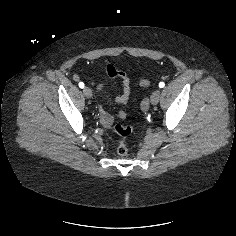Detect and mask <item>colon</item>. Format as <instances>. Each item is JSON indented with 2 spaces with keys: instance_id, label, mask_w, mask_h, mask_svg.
Returning <instances> with one entry per match:
<instances>
[{
  "instance_id": "5ec220e1",
  "label": "colon",
  "mask_w": 236,
  "mask_h": 236,
  "mask_svg": "<svg viewBox=\"0 0 236 236\" xmlns=\"http://www.w3.org/2000/svg\"><path fill=\"white\" fill-rule=\"evenodd\" d=\"M150 85V81L147 79H143L140 82V86L142 88H147ZM148 107V102L144 100L142 102V108L147 109ZM114 131L121 136L122 138H126L129 135H131L133 128L129 125H122V124H115L114 125ZM117 152L119 155L124 156L128 152V147L124 141H121L117 147Z\"/></svg>"
}]
</instances>
